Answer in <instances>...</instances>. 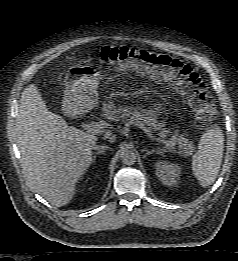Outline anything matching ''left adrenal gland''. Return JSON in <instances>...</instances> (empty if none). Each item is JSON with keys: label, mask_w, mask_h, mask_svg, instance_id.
I'll use <instances>...</instances> for the list:
<instances>
[{"label": "left adrenal gland", "mask_w": 238, "mask_h": 261, "mask_svg": "<svg viewBox=\"0 0 238 261\" xmlns=\"http://www.w3.org/2000/svg\"><path fill=\"white\" fill-rule=\"evenodd\" d=\"M142 151L145 152L144 158L150 154H153L154 152L159 153L157 150H148L146 148H144Z\"/></svg>", "instance_id": "left-adrenal-gland-1"}]
</instances>
